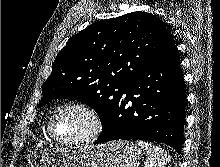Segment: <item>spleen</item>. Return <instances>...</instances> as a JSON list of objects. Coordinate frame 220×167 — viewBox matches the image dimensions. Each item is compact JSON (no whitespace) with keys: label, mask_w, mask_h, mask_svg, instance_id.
Listing matches in <instances>:
<instances>
[{"label":"spleen","mask_w":220,"mask_h":167,"mask_svg":"<svg viewBox=\"0 0 220 167\" xmlns=\"http://www.w3.org/2000/svg\"><path fill=\"white\" fill-rule=\"evenodd\" d=\"M137 145L146 151L145 167H165L170 160V155L161 147L141 140L137 141Z\"/></svg>","instance_id":"obj_1"}]
</instances>
